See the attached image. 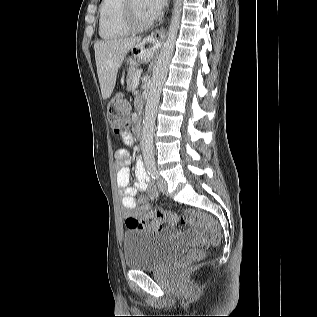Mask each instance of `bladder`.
I'll use <instances>...</instances> for the list:
<instances>
[{"mask_svg": "<svg viewBox=\"0 0 317 317\" xmlns=\"http://www.w3.org/2000/svg\"><path fill=\"white\" fill-rule=\"evenodd\" d=\"M123 254L127 269L150 271L164 267L176 254V247L168 237L130 229L124 233Z\"/></svg>", "mask_w": 317, "mask_h": 317, "instance_id": "1", "label": "bladder"}]
</instances>
